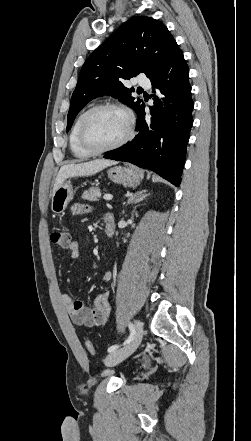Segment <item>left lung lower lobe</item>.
Masks as SVG:
<instances>
[{"instance_id": "obj_1", "label": "left lung lower lobe", "mask_w": 251, "mask_h": 441, "mask_svg": "<svg viewBox=\"0 0 251 441\" xmlns=\"http://www.w3.org/2000/svg\"><path fill=\"white\" fill-rule=\"evenodd\" d=\"M150 81L154 93V105L149 107L150 120L145 118V104L142 102L136 111V137L104 158L152 170L179 186L193 124L194 102L188 65L177 44Z\"/></svg>"}]
</instances>
